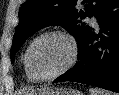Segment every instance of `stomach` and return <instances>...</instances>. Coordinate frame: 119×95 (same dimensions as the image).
<instances>
[{"mask_svg": "<svg viewBox=\"0 0 119 95\" xmlns=\"http://www.w3.org/2000/svg\"><path fill=\"white\" fill-rule=\"evenodd\" d=\"M26 95H83L81 92L73 89L44 88L39 92H31Z\"/></svg>", "mask_w": 119, "mask_h": 95, "instance_id": "0dacf381", "label": "stomach"}]
</instances>
